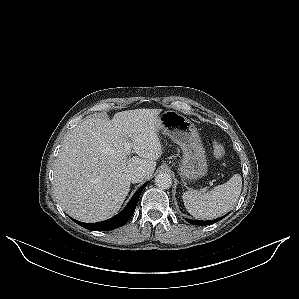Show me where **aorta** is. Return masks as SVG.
Masks as SVG:
<instances>
[{"label":"aorta","mask_w":299,"mask_h":299,"mask_svg":"<svg viewBox=\"0 0 299 299\" xmlns=\"http://www.w3.org/2000/svg\"><path fill=\"white\" fill-rule=\"evenodd\" d=\"M155 184L160 189H169L172 185V178L167 173H159L155 177Z\"/></svg>","instance_id":"obj_1"}]
</instances>
